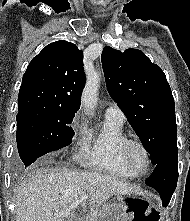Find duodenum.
<instances>
[{
  "label": "duodenum",
  "mask_w": 190,
  "mask_h": 221,
  "mask_svg": "<svg viewBox=\"0 0 190 221\" xmlns=\"http://www.w3.org/2000/svg\"><path fill=\"white\" fill-rule=\"evenodd\" d=\"M76 221H88L86 218H83V219H78Z\"/></svg>",
  "instance_id": "1"
}]
</instances>
